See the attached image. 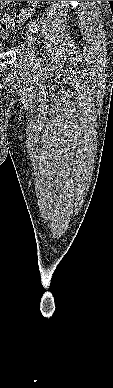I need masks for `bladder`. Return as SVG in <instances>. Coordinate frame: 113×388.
Masks as SVG:
<instances>
[{"instance_id":"obj_1","label":"bladder","mask_w":113,"mask_h":388,"mask_svg":"<svg viewBox=\"0 0 113 388\" xmlns=\"http://www.w3.org/2000/svg\"><path fill=\"white\" fill-rule=\"evenodd\" d=\"M4 49H5V46H4L2 43H0V53H1Z\"/></svg>"}]
</instances>
